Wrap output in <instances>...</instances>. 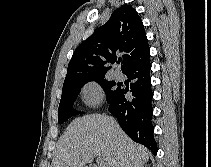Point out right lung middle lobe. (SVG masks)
<instances>
[{
    "label": "right lung middle lobe",
    "instance_id": "1",
    "mask_svg": "<svg viewBox=\"0 0 211 167\" xmlns=\"http://www.w3.org/2000/svg\"><path fill=\"white\" fill-rule=\"evenodd\" d=\"M89 81H97L104 88L108 103L120 89L119 87H115V81H107L104 76L84 78L76 82L63 85L62 96L58 109V123H63L78 113L75 110H72V106L83 85Z\"/></svg>",
    "mask_w": 211,
    "mask_h": 167
}]
</instances>
